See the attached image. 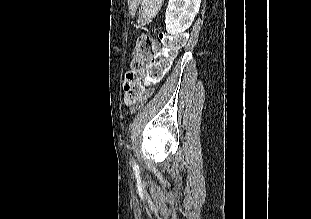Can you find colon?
Here are the masks:
<instances>
[{
	"label": "colon",
	"mask_w": 311,
	"mask_h": 219,
	"mask_svg": "<svg viewBox=\"0 0 311 219\" xmlns=\"http://www.w3.org/2000/svg\"><path fill=\"white\" fill-rule=\"evenodd\" d=\"M161 40L166 45L165 51H159V43L150 36H141L136 44L134 58L132 61L133 72H139L146 63L147 78L150 81H158L172 62L177 51L183 46L185 35L175 36L161 35Z\"/></svg>",
	"instance_id": "5ec220e1"
}]
</instances>
